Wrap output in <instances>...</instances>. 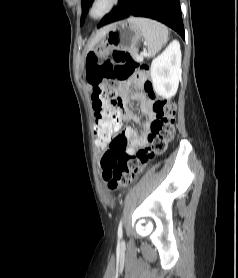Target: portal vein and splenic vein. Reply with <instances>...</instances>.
Here are the masks:
<instances>
[{
	"mask_svg": "<svg viewBox=\"0 0 238 278\" xmlns=\"http://www.w3.org/2000/svg\"><path fill=\"white\" fill-rule=\"evenodd\" d=\"M143 56H144V53H141V55L140 56H138V60H140V61H142L143 60Z\"/></svg>",
	"mask_w": 238,
	"mask_h": 278,
	"instance_id": "18ae733b",
	"label": "portal vein and splenic vein"
}]
</instances>
